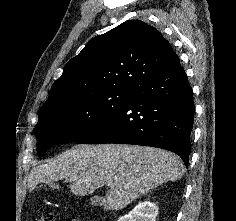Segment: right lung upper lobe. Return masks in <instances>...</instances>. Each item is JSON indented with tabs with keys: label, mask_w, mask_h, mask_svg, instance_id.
I'll return each instance as SVG.
<instances>
[{
	"label": "right lung upper lobe",
	"mask_w": 236,
	"mask_h": 221,
	"mask_svg": "<svg viewBox=\"0 0 236 221\" xmlns=\"http://www.w3.org/2000/svg\"><path fill=\"white\" fill-rule=\"evenodd\" d=\"M177 59L170 43L156 28L141 20L125 21L90 40L68 61L41 108L100 92L134 90Z\"/></svg>",
	"instance_id": "right-lung-upper-lobe-1"
}]
</instances>
